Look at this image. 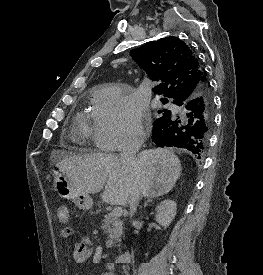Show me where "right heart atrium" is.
Wrapping results in <instances>:
<instances>
[{
  "label": "right heart atrium",
  "mask_w": 263,
  "mask_h": 275,
  "mask_svg": "<svg viewBox=\"0 0 263 275\" xmlns=\"http://www.w3.org/2000/svg\"><path fill=\"white\" fill-rule=\"evenodd\" d=\"M144 109L132 89L109 86L95 96L94 141L103 150L131 147L143 136Z\"/></svg>",
  "instance_id": "d8ad5b80"
}]
</instances>
